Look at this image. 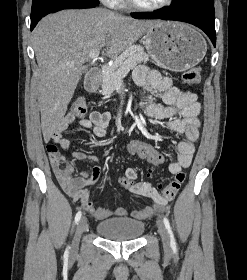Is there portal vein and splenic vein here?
<instances>
[{"mask_svg": "<svg viewBox=\"0 0 247 280\" xmlns=\"http://www.w3.org/2000/svg\"><path fill=\"white\" fill-rule=\"evenodd\" d=\"M100 51L99 50H93L89 53V56L93 60H97L99 56Z\"/></svg>", "mask_w": 247, "mask_h": 280, "instance_id": "portal-vein-and-splenic-vein-1", "label": "portal vein and splenic vein"}]
</instances>
